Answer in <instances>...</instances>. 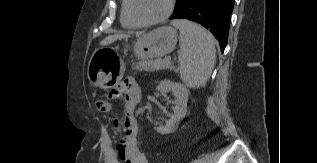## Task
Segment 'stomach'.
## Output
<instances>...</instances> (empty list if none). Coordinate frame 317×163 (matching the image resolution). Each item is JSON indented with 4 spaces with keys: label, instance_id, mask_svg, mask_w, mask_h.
<instances>
[{
    "label": "stomach",
    "instance_id": "1",
    "mask_svg": "<svg viewBox=\"0 0 317 163\" xmlns=\"http://www.w3.org/2000/svg\"><path fill=\"white\" fill-rule=\"evenodd\" d=\"M177 38V31L173 27H159L137 40L134 45V53L141 59L163 57L173 51ZM104 53L105 48L93 53L87 72L91 83L100 88H107L111 82L119 80L123 69L121 64L119 68H113L112 64L103 57Z\"/></svg>",
    "mask_w": 317,
    "mask_h": 163
}]
</instances>
